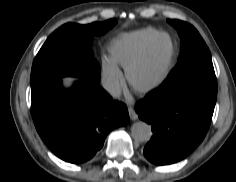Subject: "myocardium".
I'll use <instances>...</instances> for the list:
<instances>
[{
	"mask_svg": "<svg viewBox=\"0 0 236 182\" xmlns=\"http://www.w3.org/2000/svg\"><path fill=\"white\" fill-rule=\"evenodd\" d=\"M161 37H167L169 39V43H170V57H169V60L167 62V65H166L164 71L154 81H152L150 83L142 84V85L136 84L132 79V74H133L134 70L146 60V58L150 54L153 46L155 45L156 41ZM175 57H176V47H175V43H174L173 38L166 32H161V33L156 34L153 37V39L150 41V43L147 45L145 50L139 56H137L129 65L126 66L125 76H126V79L129 83V85L135 91L140 92V93L148 92V91L155 89L169 75V73L172 69Z\"/></svg>",
	"mask_w": 236,
	"mask_h": 182,
	"instance_id": "myocardium-1",
	"label": "myocardium"
}]
</instances>
